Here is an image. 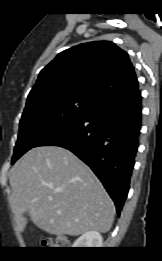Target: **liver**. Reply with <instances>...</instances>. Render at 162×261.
Returning <instances> with one entry per match:
<instances>
[{
  "instance_id": "liver-1",
  "label": "liver",
  "mask_w": 162,
  "mask_h": 261,
  "mask_svg": "<svg viewBox=\"0 0 162 261\" xmlns=\"http://www.w3.org/2000/svg\"><path fill=\"white\" fill-rule=\"evenodd\" d=\"M10 204L23 231L28 214L41 230L54 235L106 233L114 220V204L81 160L58 146L36 147L13 166Z\"/></svg>"
}]
</instances>
